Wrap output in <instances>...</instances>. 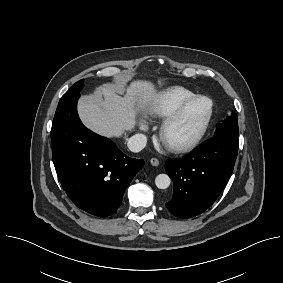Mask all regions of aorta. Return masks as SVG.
Returning a JSON list of instances; mask_svg holds the SVG:
<instances>
[{"mask_svg":"<svg viewBox=\"0 0 283 283\" xmlns=\"http://www.w3.org/2000/svg\"><path fill=\"white\" fill-rule=\"evenodd\" d=\"M171 179L167 174H159L155 178V185L159 189H166L170 186Z\"/></svg>","mask_w":283,"mask_h":283,"instance_id":"aorta-1","label":"aorta"}]
</instances>
